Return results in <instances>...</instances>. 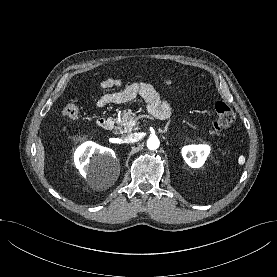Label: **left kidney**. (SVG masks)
Listing matches in <instances>:
<instances>
[{"label": "left kidney", "mask_w": 277, "mask_h": 277, "mask_svg": "<svg viewBox=\"0 0 277 277\" xmlns=\"http://www.w3.org/2000/svg\"><path fill=\"white\" fill-rule=\"evenodd\" d=\"M209 152L210 148L207 145H189L182 148V156L192 168L201 167Z\"/></svg>", "instance_id": "5707ae66"}]
</instances>
